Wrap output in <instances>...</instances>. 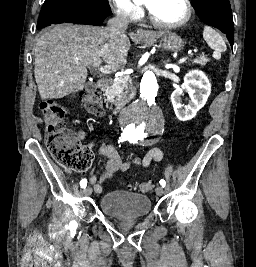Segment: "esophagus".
Segmentation results:
<instances>
[{"label": "esophagus", "instance_id": "esophagus-1", "mask_svg": "<svg viewBox=\"0 0 256 267\" xmlns=\"http://www.w3.org/2000/svg\"><path fill=\"white\" fill-rule=\"evenodd\" d=\"M137 37H145V36H153L151 32H147L146 30L138 29L135 33Z\"/></svg>", "mask_w": 256, "mask_h": 267}]
</instances>
